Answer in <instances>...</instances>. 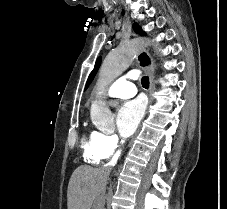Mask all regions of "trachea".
Wrapping results in <instances>:
<instances>
[{"label": "trachea", "instance_id": "1", "mask_svg": "<svg viewBox=\"0 0 227 209\" xmlns=\"http://www.w3.org/2000/svg\"><path fill=\"white\" fill-rule=\"evenodd\" d=\"M141 83H142V86L145 89H148V87H149V78L148 77H142Z\"/></svg>", "mask_w": 227, "mask_h": 209}]
</instances>
